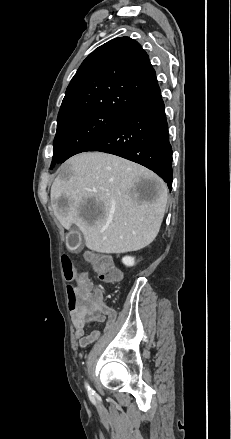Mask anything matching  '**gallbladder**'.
Here are the masks:
<instances>
[{
	"mask_svg": "<svg viewBox=\"0 0 231 439\" xmlns=\"http://www.w3.org/2000/svg\"><path fill=\"white\" fill-rule=\"evenodd\" d=\"M66 244L67 247L74 252H78L83 248L82 245V236L81 233L76 230V229H72L66 237Z\"/></svg>",
	"mask_w": 231,
	"mask_h": 439,
	"instance_id": "bac80fb5",
	"label": "gallbladder"
}]
</instances>
